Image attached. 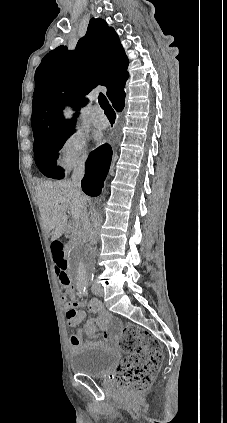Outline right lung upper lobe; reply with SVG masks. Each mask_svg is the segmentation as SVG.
<instances>
[{
  "mask_svg": "<svg viewBox=\"0 0 227 423\" xmlns=\"http://www.w3.org/2000/svg\"><path fill=\"white\" fill-rule=\"evenodd\" d=\"M129 61L113 28L92 18L74 51L59 46L44 56L35 72L31 125L34 140L70 134L72 122L63 118L65 105L79 108L83 95L97 85L107 87L112 105L124 101Z\"/></svg>",
  "mask_w": 227,
  "mask_h": 423,
  "instance_id": "obj_1",
  "label": "right lung upper lobe"
}]
</instances>
